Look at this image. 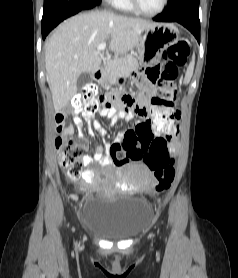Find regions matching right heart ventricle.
<instances>
[{"instance_id":"1","label":"right heart ventricle","mask_w":238,"mask_h":278,"mask_svg":"<svg viewBox=\"0 0 238 278\" xmlns=\"http://www.w3.org/2000/svg\"><path fill=\"white\" fill-rule=\"evenodd\" d=\"M118 9L123 11H132V7L130 5L129 0H118L117 4L115 5Z\"/></svg>"}]
</instances>
